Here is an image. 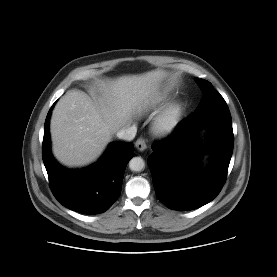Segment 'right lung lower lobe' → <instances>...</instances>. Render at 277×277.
Segmentation results:
<instances>
[{"mask_svg":"<svg viewBox=\"0 0 277 277\" xmlns=\"http://www.w3.org/2000/svg\"><path fill=\"white\" fill-rule=\"evenodd\" d=\"M50 108L44 126L42 157L55 198L82 214L103 213L118 199L126 165L134 156L133 143H111L103 156L84 169H66L50 151Z\"/></svg>","mask_w":277,"mask_h":277,"instance_id":"obj_1","label":"right lung lower lobe"}]
</instances>
